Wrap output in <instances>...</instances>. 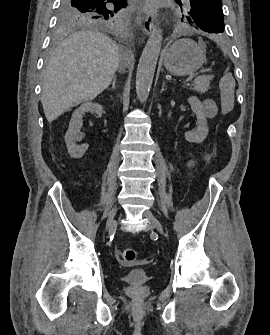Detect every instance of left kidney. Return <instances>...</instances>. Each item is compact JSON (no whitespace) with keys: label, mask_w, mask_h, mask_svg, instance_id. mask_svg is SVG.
<instances>
[{"label":"left kidney","mask_w":270,"mask_h":335,"mask_svg":"<svg viewBox=\"0 0 270 335\" xmlns=\"http://www.w3.org/2000/svg\"><path fill=\"white\" fill-rule=\"evenodd\" d=\"M188 102L194 114H196L198 128L193 130V132H185V140H187V142H196V144H201V142H204L208 136L209 130L207 120L202 110V104L196 96L188 98Z\"/></svg>","instance_id":"1"}]
</instances>
